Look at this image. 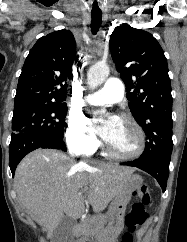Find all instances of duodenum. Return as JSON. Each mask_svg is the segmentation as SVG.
<instances>
[{"label": "duodenum", "mask_w": 187, "mask_h": 242, "mask_svg": "<svg viewBox=\"0 0 187 242\" xmlns=\"http://www.w3.org/2000/svg\"><path fill=\"white\" fill-rule=\"evenodd\" d=\"M80 228H81L80 224H76L73 228L74 233L79 234Z\"/></svg>", "instance_id": "1"}]
</instances>
